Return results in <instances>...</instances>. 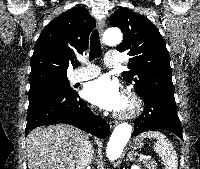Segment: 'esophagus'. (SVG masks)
Segmentation results:
<instances>
[{
	"mask_svg": "<svg viewBox=\"0 0 200 169\" xmlns=\"http://www.w3.org/2000/svg\"><path fill=\"white\" fill-rule=\"evenodd\" d=\"M105 28V21L103 19L98 21V30L100 32V34L102 35L103 31ZM110 128H114L117 125L116 121H110L109 122Z\"/></svg>",
	"mask_w": 200,
	"mask_h": 169,
	"instance_id": "esophagus-1",
	"label": "esophagus"
}]
</instances>
